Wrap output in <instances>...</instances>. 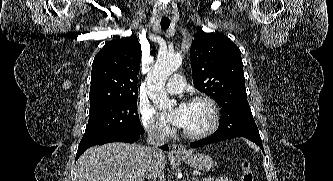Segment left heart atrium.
I'll return each instance as SVG.
<instances>
[{
  "mask_svg": "<svg viewBox=\"0 0 333 181\" xmlns=\"http://www.w3.org/2000/svg\"><path fill=\"white\" fill-rule=\"evenodd\" d=\"M188 103L182 102L171 114H164L163 118L178 127L184 128L188 118Z\"/></svg>",
  "mask_w": 333,
  "mask_h": 181,
  "instance_id": "obj_1",
  "label": "left heart atrium"
}]
</instances>
